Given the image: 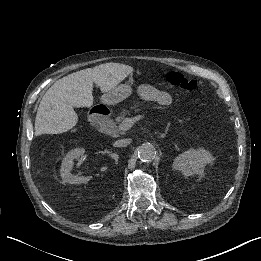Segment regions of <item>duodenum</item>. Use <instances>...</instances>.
I'll list each match as a JSON object with an SVG mask.
<instances>
[{
    "mask_svg": "<svg viewBox=\"0 0 261 261\" xmlns=\"http://www.w3.org/2000/svg\"><path fill=\"white\" fill-rule=\"evenodd\" d=\"M110 115L109 108L104 104L96 105L91 110V117L96 122L105 121Z\"/></svg>",
    "mask_w": 261,
    "mask_h": 261,
    "instance_id": "obj_1",
    "label": "duodenum"
}]
</instances>
